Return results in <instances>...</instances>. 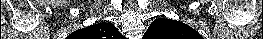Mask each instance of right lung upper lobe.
<instances>
[{
  "label": "right lung upper lobe",
  "instance_id": "right-lung-upper-lobe-1",
  "mask_svg": "<svg viewBox=\"0 0 263 39\" xmlns=\"http://www.w3.org/2000/svg\"><path fill=\"white\" fill-rule=\"evenodd\" d=\"M78 35L84 39H120L122 34L112 23H98L78 31Z\"/></svg>",
  "mask_w": 263,
  "mask_h": 39
}]
</instances>
